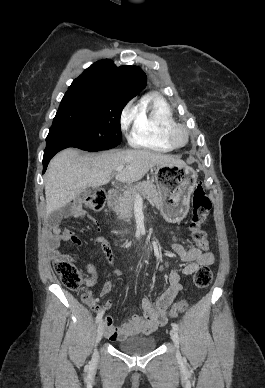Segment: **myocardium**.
<instances>
[{
	"label": "myocardium",
	"instance_id": "obj_1",
	"mask_svg": "<svg viewBox=\"0 0 265 388\" xmlns=\"http://www.w3.org/2000/svg\"><path fill=\"white\" fill-rule=\"evenodd\" d=\"M185 130V128L175 122H171L168 126V138L173 146H181L179 141L177 140V134L182 133Z\"/></svg>",
	"mask_w": 265,
	"mask_h": 388
}]
</instances>
